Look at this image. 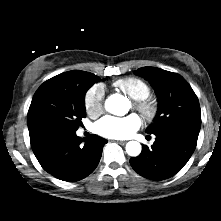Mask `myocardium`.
Listing matches in <instances>:
<instances>
[{"label": "myocardium", "mask_w": 221, "mask_h": 221, "mask_svg": "<svg viewBox=\"0 0 221 221\" xmlns=\"http://www.w3.org/2000/svg\"><path fill=\"white\" fill-rule=\"evenodd\" d=\"M135 107L146 118H153L157 112L156 104L149 98L136 100Z\"/></svg>", "instance_id": "myocardium-1"}]
</instances>
